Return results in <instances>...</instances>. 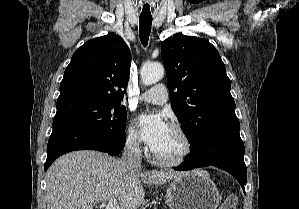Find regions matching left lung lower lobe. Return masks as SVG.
I'll list each match as a JSON object with an SVG mask.
<instances>
[{
	"mask_svg": "<svg viewBox=\"0 0 299 209\" xmlns=\"http://www.w3.org/2000/svg\"><path fill=\"white\" fill-rule=\"evenodd\" d=\"M238 118L229 119L211 127L205 137L191 147L185 162L175 170H191L216 166L230 173L245 193L247 170L244 162V144L239 134Z\"/></svg>",
	"mask_w": 299,
	"mask_h": 209,
	"instance_id": "obj_1",
	"label": "left lung lower lobe"
}]
</instances>
